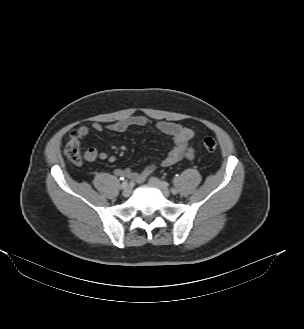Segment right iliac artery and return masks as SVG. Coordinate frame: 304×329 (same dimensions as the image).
Masks as SVG:
<instances>
[{
    "instance_id": "right-iliac-artery-1",
    "label": "right iliac artery",
    "mask_w": 304,
    "mask_h": 329,
    "mask_svg": "<svg viewBox=\"0 0 304 329\" xmlns=\"http://www.w3.org/2000/svg\"><path fill=\"white\" fill-rule=\"evenodd\" d=\"M128 185V180H124L120 186L121 189H124Z\"/></svg>"
}]
</instances>
